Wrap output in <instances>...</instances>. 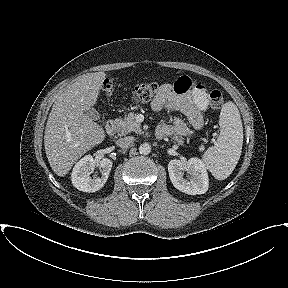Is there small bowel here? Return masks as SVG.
Here are the masks:
<instances>
[{
  "label": "small bowel",
  "instance_id": "small-bowel-1",
  "mask_svg": "<svg viewBox=\"0 0 288 288\" xmlns=\"http://www.w3.org/2000/svg\"><path fill=\"white\" fill-rule=\"evenodd\" d=\"M209 97L201 83L188 76L179 77L174 84L161 85L160 91L153 99L151 107L155 111L164 109L184 114L195 130L204 125V117L208 108ZM157 131L165 135L190 136L191 130L181 118H174L173 124L160 125Z\"/></svg>",
  "mask_w": 288,
  "mask_h": 288
}]
</instances>
